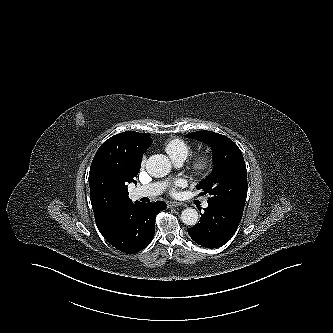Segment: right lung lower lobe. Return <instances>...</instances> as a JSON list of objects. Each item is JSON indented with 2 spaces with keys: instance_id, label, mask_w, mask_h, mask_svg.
I'll list each match as a JSON object with an SVG mask.
<instances>
[{
  "instance_id": "1",
  "label": "right lung lower lobe",
  "mask_w": 333,
  "mask_h": 333,
  "mask_svg": "<svg viewBox=\"0 0 333 333\" xmlns=\"http://www.w3.org/2000/svg\"><path fill=\"white\" fill-rule=\"evenodd\" d=\"M164 209L165 202H131L120 211L111 229L103 236L122 252L141 251L152 241L155 234V217Z\"/></svg>"
}]
</instances>
